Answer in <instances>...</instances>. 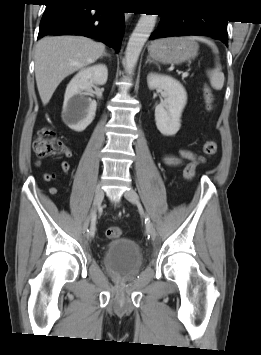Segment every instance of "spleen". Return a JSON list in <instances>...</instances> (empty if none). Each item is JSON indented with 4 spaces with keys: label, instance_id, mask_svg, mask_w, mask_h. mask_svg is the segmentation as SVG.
Segmentation results:
<instances>
[{
    "label": "spleen",
    "instance_id": "3e777b00",
    "mask_svg": "<svg viewBox=\"0 0 261 355\" xmlns=\"http://www.w3.org/2000/svg\"><path fill=\"white\" fill-rule=\"evenodd\" d=\"M188 38L190 40H197L206 43L212 48L214 53L216 54L218 53V49L212 41L200 36H190ZM208 77L210 79V84L214 89L221 90L223 88L225 78H224V74L221 71V65L219 63L216 64L215 69L208 71Z\"/></svg>",
    "mask_w": 261,
    "mask_h": 355
}]
</instances>
